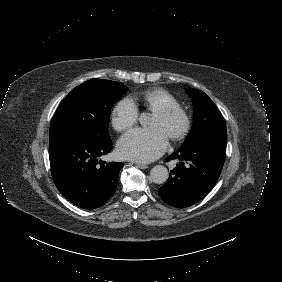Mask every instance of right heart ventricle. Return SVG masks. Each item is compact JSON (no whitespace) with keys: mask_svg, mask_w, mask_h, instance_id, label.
I'll list each match as a JSON object with an SVG mask.
<instances>
[{"mask_svg":"<svg viewBox=\"0 0 282 282\" xmlns=\"http://www.w3.org/2000/svg\"><path fill=\"white\" fill-rule=\"evenodd\" d=\"M144 108L148 111H155L165 106H178L177 101L168 92L162 89L148 91L141 96ZM138 97L129 99V102L136 108L138 106Z\"/></svg>","mask_w":282,"mask_h":282,"instance_id":"1","label":"right heart ventricle"}]
</instances>
